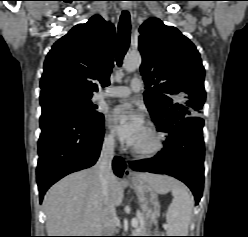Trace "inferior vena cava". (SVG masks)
Listing matches in <instances>:
<instances>
[{
    "label": "inferior vena cava",
    "mask_w": 248,
    "mask_h": 237,
    "mask_svg": "<svg viewBox=\"0 0 248 237\" xmlns=\"http://www.w3.org/2000/svg\"><path fill=\"white\" fill-rule=\"evenodd\" d=\"M115 140L112 136L105 138L100 157L96 163L101 191L103 197V233L105 236H113L116 229V210L110 198L109 182L113 176L112 161L114 157Z\"/></svg>",
    "instance_id": "1"
}]
</instances>
